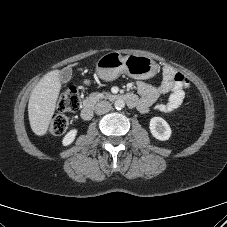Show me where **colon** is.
Listing matches in <instances>:
<instances>
[{"label":"colon","instance_id":"1","mask_svg":"<svg viewBox=\"0 0 227 227\" xmlns=\"http://www.w3.org/2000/svg\"><path fill=\"white\" fill-rule=\"evenodd\" d=\"M81 104V96L76 87H71L64 92L57 103L58 113L55 114L50 123V132L53 135L63 134L69 124L67 113L76 112Z\"/></svg>","mask_w":227,"mask_h":227}]
</instances>
